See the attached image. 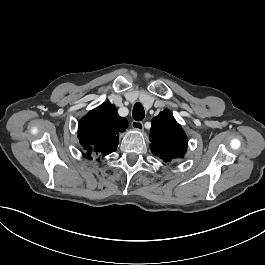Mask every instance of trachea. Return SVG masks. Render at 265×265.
<instances>
[{"label": "trachea", "instance_id": "3493384b", "mask_svg": "<svg viewBox=\"0 0 265 265\" xmlns=\"http://www.w3.org/2000/svg\"><path fill=\"white\" fill-rule=\"evenodd\" d=\"M132 116L136 121H141L145 117V111L140 102H137L133 107Z\"/></svg>", "mask_w": 265, "mask_h": 265}]
</instances>
